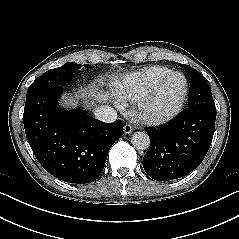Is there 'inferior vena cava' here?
<instances>
[{
    "mask_svg": "<svg viewBox=\"0 0 239 239\" xmlns=\"http://www.w3.org/2000/svg\"><path fill=\"white\" fill-rule=\"evenodd\" d=\"M94 116L102 122L112 123L117 119V112L112 107L102 105L95 109Z\"/></svg>",
    "mask_w": 239,
    "mask_h": 239,
    "instance_id": "602c4592",
    "label": "inferior vena cava"
}]
</instances>
